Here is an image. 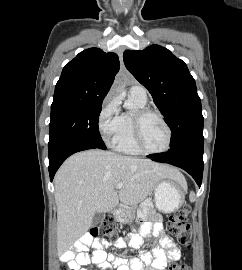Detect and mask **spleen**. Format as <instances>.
<instances>
[{"instance_id": "spleen-1", "label": "spleen", "mask_w": 242, "mask_h": 270, "mask_svg": "<svg viewBox=\"0 0 242 270\" xmlns=\"http://www.w3.org/2000/svg\"><path fill=\"white\" fill-rule=\"evenodd\" d=\"M189 198H190V201L192 202L195 201V194L191 192Z\"/></svg>"}]
</instances>
